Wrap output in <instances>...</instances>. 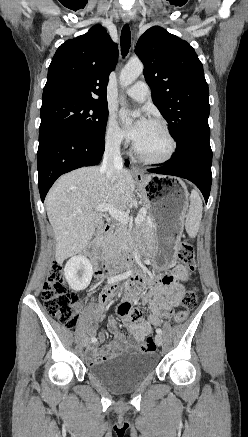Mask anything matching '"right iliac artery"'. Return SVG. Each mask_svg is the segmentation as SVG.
<instances>
[{
	"mask_svg": "<svg viewBox=\"0 0 248 437\" xmlns=\"http://www.w3.org/2000/svg\"><path fill=\"white\" fill-rule=\"evenodd\" d=\"M131 273H132V271H127V272H125V273H123L121 275L111 277V278L108 279V283L111 284V283H114L116 281L126 279L127 277H129L131 275ZM91 340H92V342H96V338L95 337H92Z\"/></svg>",
	"mask_w": 248,
	"mask_h": 437,
	"instance_id": "1",
	"label": "right iliac artery"
}]
</instances>
